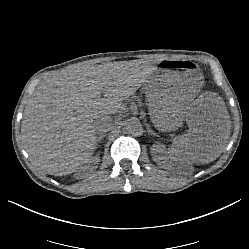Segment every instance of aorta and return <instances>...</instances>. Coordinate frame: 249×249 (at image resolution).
Segmentation results:
<instances>
[{"instance_id":"762f6f07","label":"aorta","mask_w":249,"mask_h":249,"mask_svg":"<svg viewBox=\"0 0 249 249\" xmlns=\"http://www.w3.org/2000/svg\"><path fill=\"white\" fill-rule=\"evenodd\" d=\"M125 128L130 134H139L142 130V125L138 119L129 118L125 122Z\"/></svg>"}]
</instances>
